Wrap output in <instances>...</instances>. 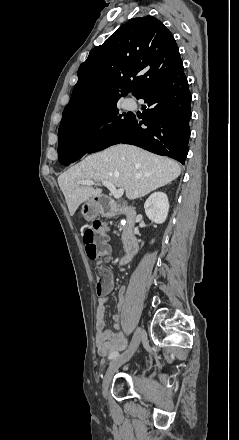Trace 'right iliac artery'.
<instances>
[{"mask_svg": "<svg viewBox=\"0 0 239 440\" xmlns=\"http://www.w3.org/2000/svg\"><path fill=\"white\" fill-rule=\"evenodd\" d=\"M119 356V353L118 352H113V353H111L110 355H109V359H115L116 357H118Z\"/></svg>", "mask_w": 239, "mask_h": 440, "instance_id": "1", "label": "right iliac artery"}]
</instances>
